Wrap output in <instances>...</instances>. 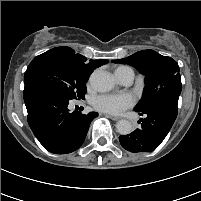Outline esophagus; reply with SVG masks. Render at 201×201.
I'll return each instance as SVG.
<instances>
[{"label":"esophagus","instance_id":"obj_1","mask_svg":"<svg viewBox=\"0 0 201 201\" xmlns=\"http://www.w3.org/2000/svg\"><path fill=\"white\" fill-rule=\"evenodd\" d=\"M106 116L109 117L110 119L114 120V121H117L120 119V117L113 116V115H106Z\"/></svg>","mask_w":201,"mask_h":201}]
</instances>
